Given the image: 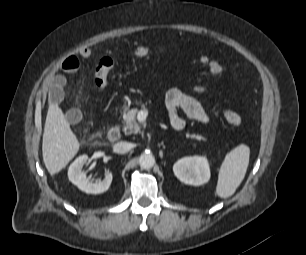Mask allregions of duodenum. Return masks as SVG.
<instances>
[{
  "mask_svg": "<svg viewBox=\"0 0 306 255\" xmlns=\"http://www.w3.org/2000/svg\"><path fill=\"white\" fill-rule=\"evenodd\" d=\"M121 132L117 126L112 127L107 134V138L110 142H116L120 139Z\"/></svg>",
  "mask_w": 306,
  "mask_h": 255,
  "instance_id": "duodenum-1",
  "label": "duodenum"
}]
</instances>
